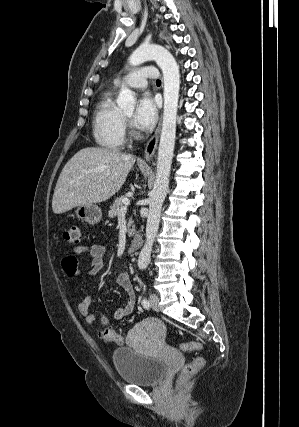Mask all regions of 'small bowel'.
<instances>
[{"mask_svg": "<svg viewBox=\"0 0 299 427\" xmlns=\"http://www.w3.org/2000/svg\"><path fill=\"white\" fill-rule=\"evenodd\" d=\"M77 256L89 257L90 266L88 274L96 275L104 268L106 248L97 243L80 245L74 248L73 253L66 256L62 261L63 270L69 278H78L81 275L76 259ZM117 283L127 294L126 303L122 307L118 308L114 313V318L116 320H121L133 312L135 307V292L128 272H120L117 276ZM90 303V295L82 296L79 299L77 306L79 314L84 317L86 323L89 325H94L98 322L101 326H107L110 323L109 317L105 314L95 315L92 313L89 309Z\"/></svg>", "mask_w": 299, "mask_h": 427, "instance_id": "obj_1", "label": "small bowel"}]
</instances>
